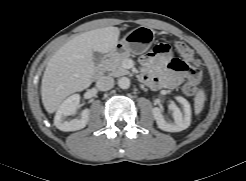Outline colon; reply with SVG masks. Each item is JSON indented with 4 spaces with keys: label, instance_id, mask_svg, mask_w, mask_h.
Instances as JSON below:
<instances>
[{
    "label": "colon",
    "instance_id": "5ec220e1",
    "mask_svg": "<svg viewBox=\"0 0 246 181\" xmlns=\"http://www.w3.org/2000/svg\"><path fill=\"white\" fill-rule=\"evenodd\" d=\"M165 45H158L154 48L156 52H161ZM174 49L186 59L190 65L188 66L189 76L188 81L183 86V92L188 96L196 95L198 88L197 84L201 80V72L199 69L198 61L194 58L193 52L188 45L181 41L173 44Z\"/></svg>",
    "mask_w": 246,
    "mask_h": 181
}]
</instances>
